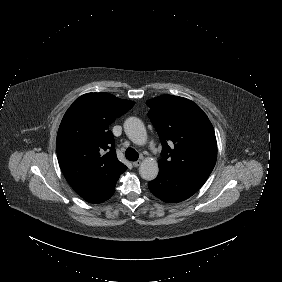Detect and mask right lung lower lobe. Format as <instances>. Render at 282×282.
I'll list each match as a JSON object with an SVG mask.
<instances>
[{"label": "right lung lower lobe", "mask_w": 282, "mask_h": 282, "mask_svg": "<svg viewBox=\"0 0 282 282\" xmlns=\"http://www.w3.org/2000/svg\"><path fill=\"white\" fill-rule=\"evenodd\" d=\"M117 180L118 179H116L110 187L102 189L98 194L86 201H88L89 203H101L108 200L115 192V185Z\"/></svg>", "instance_id": "right-lung-lower-lobe-1"}]
</instances>
